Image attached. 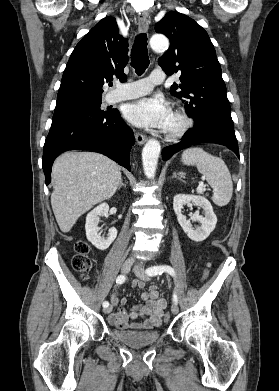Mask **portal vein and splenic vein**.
<instances>
[{
	"label": "portal vein and splenic vein",
	"mask_w": 279,
	"mask_h": 391,
	"mask_svg": "<svg viewBox=\"0 0 279 391\" xmlns=\"http://www.w3.org/2000/svg\"><path fill=\"white\" fill-rule=\"evenodd\" d=\"M204 190H205V186H204L203 182H200L199 186L197 187V192L201 193Z\"/></svg>",
	"instance_id": "portal-vein-and-splenic-vein-1"
}]
</instances>
